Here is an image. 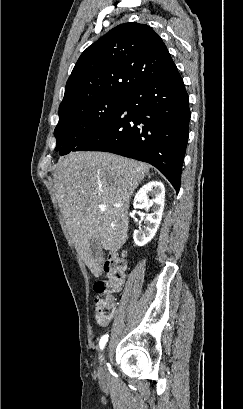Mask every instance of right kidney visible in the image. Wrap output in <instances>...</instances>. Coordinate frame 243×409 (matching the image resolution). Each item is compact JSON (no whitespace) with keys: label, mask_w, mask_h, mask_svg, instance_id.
Instances as JSON below:
<instances>
[{"label":"right kidney","mask_w":243,"mask_h":409,"mask_svg":"<svg viewBox=\"0 0 243 409\" xmlns=\"http://www.w3.org/2000/svg\"><path fill=\"white\" fill-rule=\"evenodd\" d=\"M152 197L149 199V197ZM165 188L161 182L151 181L145 184L135 195L134 209H151L150 214L143 217L145 226L135 230L134 242L137 246H144L154 237L159 228L164 209Z\"/></svg>","instance_id":"1"}]
</instances>
